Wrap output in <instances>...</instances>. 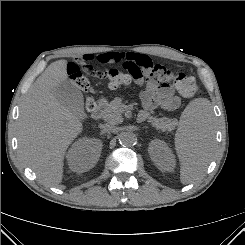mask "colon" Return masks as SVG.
Segmentation results:
<instances>
[{
  "mask_svg": "<svg viewBox=\"0 0 245 245\" xmlns=\"http://www.w3.org/2000/svg\"><path fill=\"white\" fill-rule=\"evenodd\" d=\"M94 59V55L84 54L68 66L67 72L72 83L81 91L86 92L90 88L89 80L81 70L91 76L107 79L109 87L114 89L127 84L132 77L140 74L139 68L131 61H125L122 70L117 68L97 69L91 65ZM148 79L152 82L166 81L173 85L182 96L187 98L199 94V87L194 78L161 64H153L148 73ZM94 105L95 102L92 98L86 99L85 107L87 111H92Z\"/></svg>",
  "mask_w": 245,
  "mask_h": 245,
  "instance_id": "colon-1",
  "label": "colon"
}]
</instances>
